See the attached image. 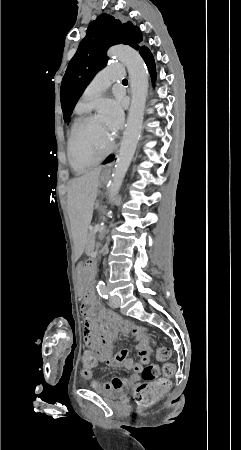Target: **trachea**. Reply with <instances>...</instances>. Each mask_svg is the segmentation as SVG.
<instances>
[{"label":"trachea","mask_w":241,"mask_h":450,"mask_svg":"<svg viewBox=\"0 0 241 450\" xmlns=\"http://www.w3.org/2000/svg\"><path fill=\"white\" fill-rule=\"evenodd\" d=\"M128 80L126 78L123 79V82H127Z\"/></svg>","instance_id":"1"}]
</instances>
